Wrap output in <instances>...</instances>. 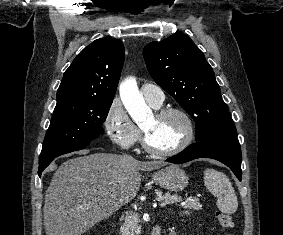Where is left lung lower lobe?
<instances>
[{
  "label": "left lung lower lobe",
  "mask_w": 283,
  "mask_h": 235,
  "mask_svg": "<svg viewBox=\"0 0 283 235\" xmlns=\"http://www.w3.org/2000/svg\"><path fill=\"white\" fill-rule=\"evenodd\" d=\"M212 158L227 165L241 180V148L236 135L198 141L179 154L167 159L171 163H185L197 158Z\"/></svg>",
  "instance_id": "obj_1"
}]
</instances>
